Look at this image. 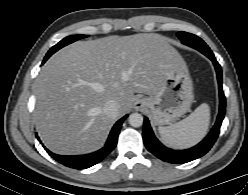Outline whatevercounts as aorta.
Segmentation results:
<instances>
[{
	"mask_svg": "<svg viewBox=\"0 0 248 195\" xmlns=\"http://www.w3.org/2000/svg\"><path fill=\"white\" fill-rule=\"evenodd\" d=\"M128 121L132 127H140L143 124V116L139 113H132Z\"/></svg>",
	"mask_w": 248,
	"mask_h": 195,
	"instance_id": "aorta-1",
	"label": "aorta"
}]
</instances>
